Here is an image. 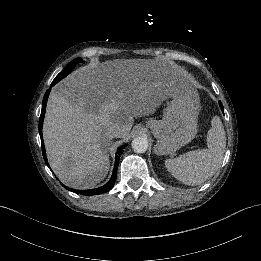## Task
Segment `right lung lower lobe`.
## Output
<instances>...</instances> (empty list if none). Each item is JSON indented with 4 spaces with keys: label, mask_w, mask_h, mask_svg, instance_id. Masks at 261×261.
Here are the masks:
<instances>
[{
    "label": "right lung lower lobe",
    "mask_w": 261,
    "mask_h": 261,
    "mask_svg": "<svg viewBox=\"0 0 261 261\" xmlns=\"http://www.w3.org/2000/svg\"><path fill=\"white\" fill-rule=\"evenodd\" d=\"M54 85L55 84H51L50 88L46 91V93L44 95L43 102H42L41 115H40V118H39V133H40V137H41L42 153H43V157H44V160H45L47 165H48V162H47V157H46V152H45V147H44V142H43V137H42V127H43V120H44V115H45V110H46L47 99H48V96L50 94L51 87L54 86ZM125 147H126V144L122 145L121 147L118 148V150L116 152V156H115V164H114L112 176H111L110 180L105 185L98 187V188L87 189V190H74V189H71L67 186H64V185L63 186L67 190H70V191L75 192L77 194L86 195V196L98 195V194H103V193L108 192L109 190L112 189V187L115 184L116 177H117L118 163H119V160H120V156L122 154V150Z\"/></svg>",
    "instance_id": "obj_1"
}]
</instances>
